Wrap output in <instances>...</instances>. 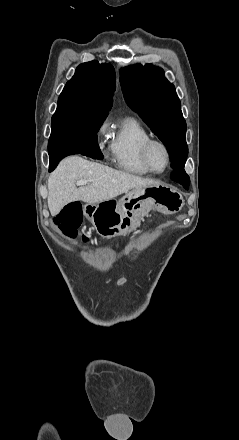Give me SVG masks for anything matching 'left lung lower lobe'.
Here are the masks:
<instances>
[{"label": "left lung lower lobe", "mask_w": 239, "mask_h": 440, "mask_svg": "<svg viewBox=\"0 0 239 440\" xmlns=\"http://www.w3.org/2000/svg\"><path fill=\"white\" fill-rule=\"evenodd\" d=\"M171 178L174 181L182 184L185 189H188L190 180H189V176L186 174L184 168L175 169L172 173Z\"/></svg>", "instance_id": "obj_1"}]
</instances>
